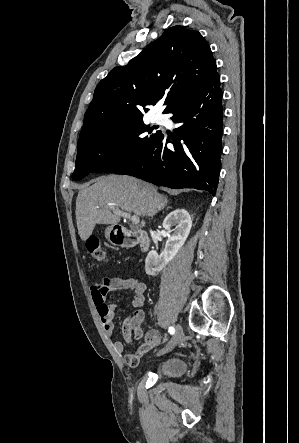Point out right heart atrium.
<instances>
[{
  "label": "right heart atrium",
  "mask_w": 299,
  "mask_h": 443,
  "mask_svg": "<svg viewBox=\"0 0 299 443\" xmlns=\"http://www.w3.org/2000/svg\"><path fill=\"white\" fill-rule=\"evenodd\" d=\"M122 143V138L121 137H117L116 139H114V141L112 142V146L113 147H118L120 146Z\"/></svg>",
  "instance_id": "d8ad5b80"
}]
</instances>
